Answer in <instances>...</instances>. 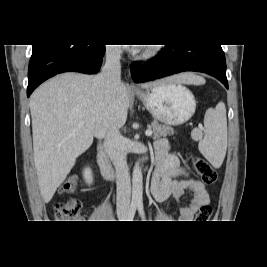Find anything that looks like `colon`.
Instances as JSON below:
<instances>
[{
    "mask_svg": "<svg viewBox=\"0 0 267 267\" xmlns=\"http://www.w3.org/2000/svg\"><path fill=\"white\" fill-rule=\"evenodd\" d=\"M193 166L204 183L213 185L217 182L218 176L215 169L200 157L193 158ZM75 189L73 180H68L61 186V193L69 194ZM213 213V208L209 204L201 206L196 219L198 222H208ZM54 216L57 222H75L82 216V203L76 198H67L59 202L54 207Z\"/></svg>",
    "mask_w": 267,
    "mask_h": 267,
    "instance_id": "obj_1",
    "label": "colon"
}]
</instances>
